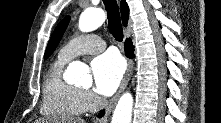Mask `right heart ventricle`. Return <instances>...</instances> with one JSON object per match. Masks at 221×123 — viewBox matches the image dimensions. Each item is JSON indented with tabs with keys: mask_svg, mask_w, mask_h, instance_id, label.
Returning <instances> with one entry per match:
<instances>
[{
	"mask_svg": "<svg viewBox=\"0 0 221 123\" xmlns=\"http://www.w3.org/2000/svg\"><path fill=\"white\" fill-rule=\"evenodd\" d=\"M66 62L58 57L44 78L41 112L46 116L67 119L86 111L82 91L62 79Z\"/></svg>",
	"mask_w": 221,
	"mask_h": 123,
	"instance_id": "1",
	"label": "right heart ventricle"
}]
</instances>
